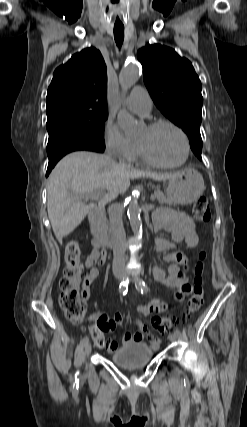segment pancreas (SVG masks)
I'll use <instances>...</instances> for the list:
<instances>
[{
    "label": "pancreas",
    "mask_w": 247,
    "mask_h": 427,
    "mask_svg": "<svg viewBox=\"0 0 247 427\" xmlns=\"http://www.w3.org/2000/svg\"><path fill=\"white\" fill-rule=\"evenodd\" d=\"M154 194L156 195V199L160 204H173L174 203L163 192H161L159 190H155Z\"/></svg>",
    "instance_id": "cf45deb5"
}]
</instances>
